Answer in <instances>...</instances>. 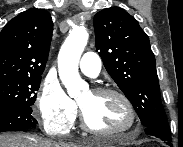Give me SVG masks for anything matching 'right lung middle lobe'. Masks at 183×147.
Wrapping results in <instances>:
<instances>
[{
	"label": "right lung middle lobe",
	"instance_id": "dd1d6c3e",
	"mask_svg": "<svg viewBox=\"0 0 183 147\" xmlns=\"http://www.w3.org/2000/svg\"><path fill=\"white\" fill-rule=\"evenodd\" d=\"M41 76L0 80V108L32 106Z\"/></svg>",
	"mask_w": 183,
	"mask_h": 147
}]
</instances>
